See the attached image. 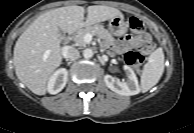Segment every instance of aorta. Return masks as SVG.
Wrapping results in <instances>:
<instances>
[{"instance_id":"1","label":"aorta","mask_w":194,"mask_h":133,"mask_svg":"<svg viewBox=\"0 0 194 133\" xmlns=\"http://www.w3.org/2000/svg\"><path fill=\"white\" fill-rule=\"evenodd\" d=\"M83 56H84V58H86V59L91 58V57L93 56V51H92V49H89V48L85 49V50L83 51Z\"/></svg>"}]
</instances>
